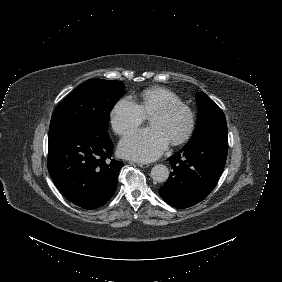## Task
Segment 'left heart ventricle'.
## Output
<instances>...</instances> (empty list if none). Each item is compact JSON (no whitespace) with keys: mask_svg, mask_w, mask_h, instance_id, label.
<instances>
[{"mask_svg":"<svg viewBox=\"0 0 282 282\" xmlns=\"http://www.w3.org/2000/svg\"><path fill=\"white\" fill-rule=\"evenodd\" d=\"M168 103L170 102L165 101L159 107H162ZM149 123L151 126L160 128L170 141L182 133L186 124V119L183 113L174 112L167 116L153 115L149 118Z\"/></svg>","mask_w":282,"mask_h":282,"instance_id":"1","label":"left heart ventricle"}]
</instances>
